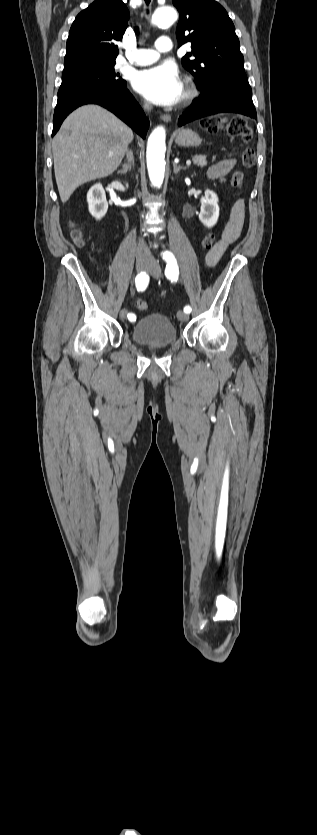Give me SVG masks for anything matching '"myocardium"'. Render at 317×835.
Masks as SVG:
<instances>
[{"label":"myocardium","instance_id":"f54148a6","mask_svg":"<svg viewBox=\"0 0 317 835\" xmlns=\"http://www.w3.org/2000/svg\"><path fill=\"white\" fill-rule=\"evenodd\" d=\"M198 94L199 92L196 85L191 81H187L182 95V104L184 106L189 105L196 99Z\"/></svg>","mask_w":317,"mask_h":835}]
</instances>
